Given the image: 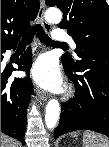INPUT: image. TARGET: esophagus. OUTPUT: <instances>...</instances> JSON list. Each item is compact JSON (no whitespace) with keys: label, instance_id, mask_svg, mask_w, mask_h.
I'll use <instances>...</instances> for the list:
<instances>
[{"label":"esophagus","instance_id":"1","mask_svg":"<svg viewBox=\"0 0 109 147\" xmlns=\"http://www.w3.org/2000/svg\"><path fill=\"white\" fill-rule=\"evenodd\" d=\"M44 11H45V3L42 0L40 3V9L38 11L37 18H38L39 22L42 24L44 30L47 33H50L51 32V25L44 20ZM38 96H39L40 100H42V101H47L49 98V95L42 90L38 91Z\"/></svg>","mask_w":109,"mask_h":147}]
</instances>
